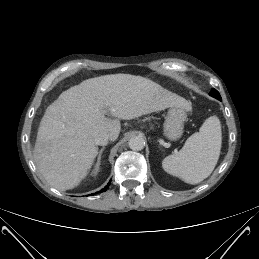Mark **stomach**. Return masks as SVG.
I'll return each mask as SVG.
<instances>
[{
    "instance_id": "1",
    "label": "stomach",
    "mask_w": 259,
    "mask_h": 259,
    "mask_svg": "<svg viewBox=\"0 0 259 259\" xmlns=\"http://www.w3.org/2000/svg\"><path fill=\"white\" fill-rule=\"evenodd\" d=\"M186 112L180 107H171L163 124V134L170 141L179 140L184 132Z\"/></svg>"
}]
</instances>
